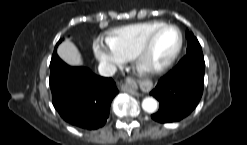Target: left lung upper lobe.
Returning a JSON list of instances; mask_svg holds the SVG:
<instances>
[{
	"label": "left lung upper lobe",
	"mask_w": 247,
	"mask_h": 145,
	"mask_svg": "<svg viewBox=\"0 0 247 145\" xmlns=\"http://www.w3.org/2000/svg\"><path fill=\"white\" fill-rule=\"evenodd\" d=\"M186 37L188 39L187 54L188 53H194V52L202 53L201 46H200L198 40L193 36V34H191L189 31H187Z\"/></svg>",
	"instance_id": "5c2ea615"
}]
</instances>
